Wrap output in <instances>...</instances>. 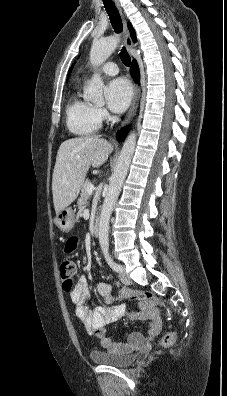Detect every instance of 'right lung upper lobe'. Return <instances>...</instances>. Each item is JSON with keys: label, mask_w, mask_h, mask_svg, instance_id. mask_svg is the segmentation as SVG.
Here are the masks:
<instances>
[{"label": "right lung upper lobe", "mask_w": 227, "mask_h": 396, "mask_svg": "<svg viewBox=\"0 0 227 396\" xmlns=\"http://www.w3.org/2000/svg\"><path fill=\"white\" fill-rule=\"evenodd\" d=\"M128 28H129V31H130V34H131V38H132L133 42H135L136 41V34H135V31H134L131 23H128Z\"/></svg>", "instance_id": "cb5924a9"}]
</instances>
